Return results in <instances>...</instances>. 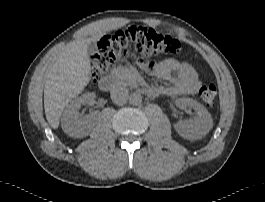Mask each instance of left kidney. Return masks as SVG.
Masks as SVG:
<instances>
[{"label":"left kidney","mask_w":265,"mask_h":202,"mask_svg":"<svg viewBox=\"0 0 265 202\" xmlns=\"http://www.w3.org/2000/svg\"><path fill=\"white\" fill-rule=\"evenodd\" d=\"M176 106L183 109L186 107L197 111V115L187 121H178L174 128L178 134L188 140H198L205 136L213 128V120L208 110L192 98H179L175 101Z\"/></svg>","instance_id":"1"}]
</instances>
